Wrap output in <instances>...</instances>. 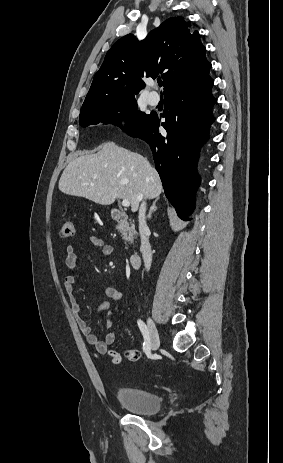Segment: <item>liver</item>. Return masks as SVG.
<instances>
[{
	"instance_id": "1",
	"label": "liver",
	"mask_w": 283,
	"mask_h": 463,
	"mask_svg": "<svg viewBox=\"0 0 283 463\" xmlns=\"http://www.w3.org/2000/svg\"><path fill=\"white\" fill-rule=\"evenodd\" d=\"M59 190L101 205L127 199L136 212L141 198H157L162 192L158 172L142 155L113 142L94 154L81 155L64 169Z\"/></svg>"
}]
</instances>
